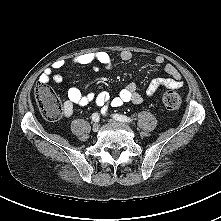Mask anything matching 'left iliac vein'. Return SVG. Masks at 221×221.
I'll return each mask as SVG.
<instances>
[{
    "label": "left iliac vein",
    "mask_w": 221,
    "mask_h": 221,
    "mask_svg": "<svg viewBox=\"0 0 221 221\" xmlns=\"http://www.w3.org/2000/svg\"><path fill=\"white\" fill-rule=\"evenodd\" d=\"M110 122L118 123V124L123 125V126L126 125L125 123H123V122H119V121H116V120H110Z\"/></svg>",
    "instance_id": "1"
}]
</instances>
